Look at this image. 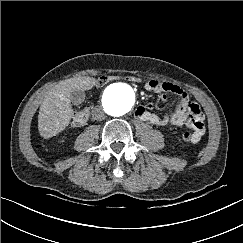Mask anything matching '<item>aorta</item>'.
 <instances>
[{"instance_id": "1", "label": "aorta", "mask_w": 243, "mask_h": 243, "mask_svg": "<svg viewBox=\"0 0 243 243\" xmlns=\"http://www.w3.org/2000/svg\"><path fill=\"white\" fill-rule=\"evenodd\" d=\"M129 90L130 87L124 84L109 86L103 96L104 105L116 115L127 113L132 107V102L128 96Z\"/></svg>"}]
</instances>
